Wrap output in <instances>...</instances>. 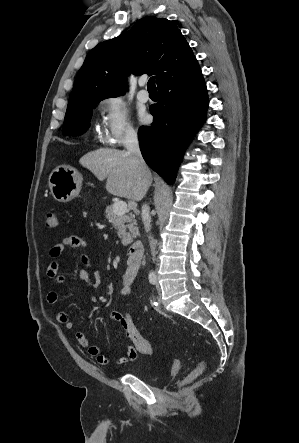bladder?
<instances>
[{
  "label": "bladder",
  "instance_id": "bladder-1",
  "mask_svg": "<svg viewBox=\"0 0 299 443\" xmlns=\"http://www.w3.org/2000/svg\"><path fill=\"white\" fill-rule=\"evenodd\" d=\"M131 374L151 385H157L166 378L165 374L156 373L143 364L136 365Z\"/></svg>",
  "mask_w": 299,
  "mask_h": 443
}]
</instances>
